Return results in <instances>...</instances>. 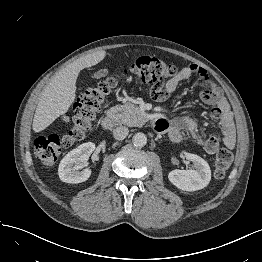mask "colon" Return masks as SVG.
Returning a JSON list of instances; mask_svg holds the SVG:
<instances>
[{"mask_svg":"<svg viewBox=\"0 0 262 262\" xmlns=\"http://www.w3.org/2000/svg\"><path fill=\"white\" fill-rule=\"evenodd\" d=\"M124 73L141 84L150 85L152 98L161 100L166 96L165 84L177 74V69L156 57H140L127 67ZM93 76L97 83L85 89L79 96L73 115L63 117L64 133L39 136L35 139L34 149L44 166L54 165L65 148L82 139L91 130L97 112L117 82L116 77L107 69L98 70ZM232 160L233 155L228 150L217 153L214 163V175L217 179L225 176Z\"/></svg>","mask_w":262,"mask_h":262,"instance_id":"1","label":"colon"}]
</instances>
